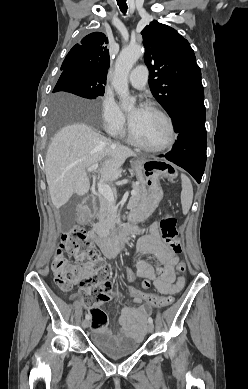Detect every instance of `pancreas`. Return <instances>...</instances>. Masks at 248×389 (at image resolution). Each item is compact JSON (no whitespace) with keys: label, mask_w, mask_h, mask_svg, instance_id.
<instances>
[{"label":"pancreas","mask_w":248,"mask_h":389,"mask_svg":"<svg viewBox=\"0 0 248 389\" xmlns=\"http://www.w3.org/2000/svg\"><path fill=\"white\" fill-rule=\"evenodd\" d=\"M133 190L136 192L135 195L129 200V208L134 210L141 199V193L143 186L138 183L132 184ZM114 213L113 204L109 203L104 197H100V207L96 212L97 223L94 225L93 230L99 238H108L110 231L113 228L112 215Z\"/></svg>","instance_id":"1"}]
</instances>
